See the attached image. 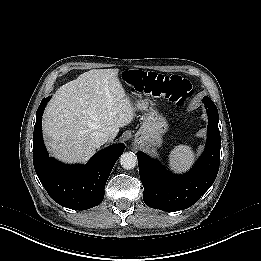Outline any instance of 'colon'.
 Segmentation results:
<instances>
[{
    "label": "colon",
    "instance_id": "1",
    "mask_svg": "<svg viewBox=\"0 0 261 261\" xmlns=\"http://www.w3.org/2000/svg\"><path fill=\"white\" fill-rule=\"evenodd\" d=\"M131 80L142 92L164 97L177 106H184L192 96L189 83L179 76L165 77L152 71L134 70Z\"/></svg>",
    "mask_w": 261,
    "mask_h": 261
}]
</instances>
